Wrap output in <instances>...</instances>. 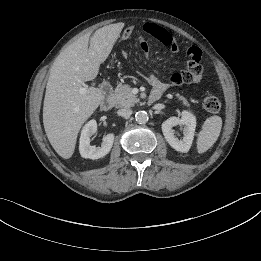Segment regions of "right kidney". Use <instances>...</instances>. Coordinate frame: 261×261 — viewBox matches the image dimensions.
Wrapping results in <instances>:
<instances>
[{
  "label": "right kidney",
  "instance_id": "ca27d5eb",
  "mask_svg": "<svg viewBox=\"0 0 261 261\" xmlns=\"http://www.w3.org/2000/svg\"><path fill=\"white\" fill-rule=\"evenodd\" d=\"M97 132L96 120H90L85 124L81 131L79 151L83 158L99 159L107 155L114 142V134L109 133L103 138V142L100 147L90 145V137Z\"/></svg>",
  "mask_w": 261,
  "mask_h": 261
}]
</instances>
